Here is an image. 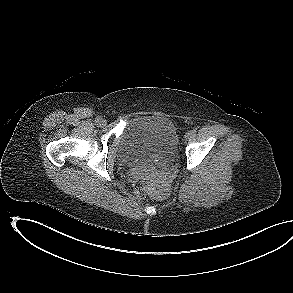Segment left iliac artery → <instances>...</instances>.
<instances>
[{"mask_svg":"<svg viewBox=\"0 0 293 293\" xmlns=\"http://www.w3.org/2000/svg\"><path fill=\"white\" fill-rule=\"evenodd\" d=\"M190 132L192 135H194L197 131H196V129H192Z\"/></svg>","mask_w":293,"mask_h":293,"instance_id":"obj_1","label":"left iliac artery"}]
</instances>
